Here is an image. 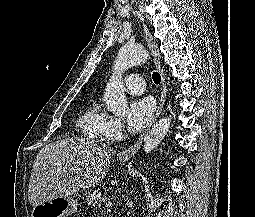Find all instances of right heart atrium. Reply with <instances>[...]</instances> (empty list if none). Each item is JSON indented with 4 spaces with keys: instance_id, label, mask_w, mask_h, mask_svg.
Returning a JSON list of instances; mask_svg holds the SVG:
<instances>
[{
    "instance_id": "obj_1",
    "label": "right heart atrium",
    "mask_w": 255,
    "mask_h": 217,
    "mask_svg": "<svg viewBox=\"0 0 255 217\" xmlns=\"http://www.w3.org/2000/svg\"><path fill=\"white\" fill-rule=\"evenodd\" d=\"M107 136L110 138H118L122 136V123L113 116H109L106 126Z\"/></svg>"
}]
</instances>
